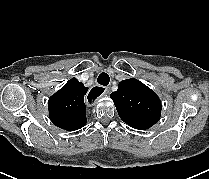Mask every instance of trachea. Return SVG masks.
I'll return each instance as SVG.
<instances>
[{
    "label": "trachea",
    "mask_w": 209,
    "mask_h": 179,
    "mask_svg": "<svg viewBox=\"0 0 209 179\" xmlns=\"http://www.w3.org/2000/svg\"><path fill=\"white\" fill-rule=\"evenodd\" d=\"M98 83L102 86H107L109 84L110 78L106 73H101L97 79Z\"/></svg>",
    "instance_id": "trachea-1"
}]
</instances>
